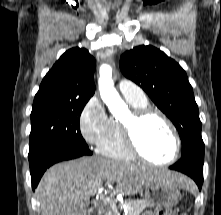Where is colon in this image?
<instances>
[{"label": "colon", "instance_id": "1", "mask_svg": "<svg viewBox=\"0 0 221 215\" xmlns=\"http://www.w3.org/2000/svg\"><path fill=\"white\" fill-rule=\"evenodd\" d=\"M157 215H184V214H181L177 209L170 208V209L159 210Z\"/></svg>", "mask_w": 221, "mask_h": 215}]
</instances>
